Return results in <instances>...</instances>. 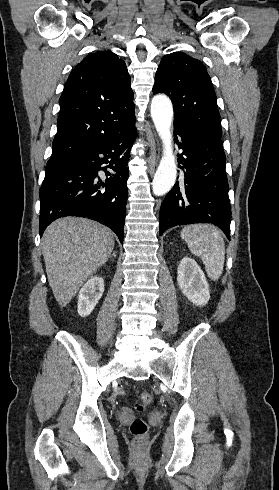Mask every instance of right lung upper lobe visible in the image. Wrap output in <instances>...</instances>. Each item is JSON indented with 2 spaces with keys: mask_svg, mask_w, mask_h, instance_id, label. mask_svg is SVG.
<instances>
[{
  "mask_svg": "<svg viewBox=\"0 0 279 490\" xmlns=\"http://www.w3.org/2000/svg\"><path fill=\"white\" fill-rule=\"evenodd\" d=\"M58 129L47 164H60L134 127L125 62L110 50L89 54L70 73L59 99Z\"/></svg>",
  "mask_w": 279,
  "mask_h": 490,
  "instance_id": "obj_1",
  "label": "right lung upper lobe"
}]
</instances>
